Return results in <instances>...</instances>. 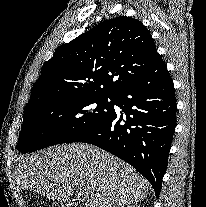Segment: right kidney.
<instances>
[{"mask_svg": "<svg viewBox=\"0 0 206 207\" xmlns=\"http://www.w3.org/2000/svg\"><path fill=\"white\" fill-rule=\"evenodd\" d=\"M128 207H139V206H137V205H128Z\"/></svg>", "mask_w": 206, "mask_h": 207, "instance_id": "1", "label": "right kidney"}]
</instances>
